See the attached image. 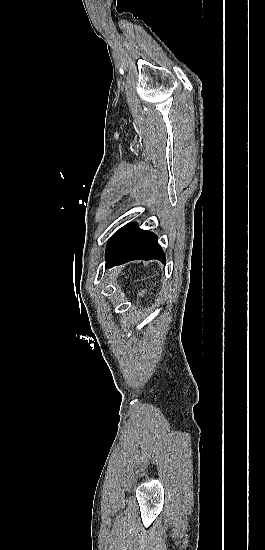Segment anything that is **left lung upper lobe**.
Returning <instances> with one entry per match:
<instances>
[{"label":"left lung upper lobe","mask_w":265,"mask_h":550,"mask_svg":"<svg viewBox=\"0 0 265 550\" xmlns=\"http://www.w3.org/2000/svg\"><path fill=\"white\" fill-rule=\"evenodd\" d=\"M136 227L135 224H128L120 228L109 240L106 255L112 252Z\"/></svg>","instance_id":"left-lung-upper-lobe-1"}]
</instances>
